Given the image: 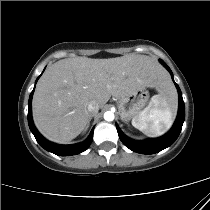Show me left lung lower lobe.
<instances>
[{"label": "left lung lower lobe", "instance_id": "obj_1", "mask_svg": "<svg viewBox=\"0 0 210 210\" xmlns=\"http://www.w3.org/2000/svg\"><path fill=\"white\" fill-rule=\"evenodd\" d=\"M160 62L167 68V70L170 72L173 79L172 71L167 66V64L164 63L162 60H160ZM175 85L177 87L178 94H179V110H178L177 119L172 129L166 135L160 138L149 139L145 141H135L125 136L122 133V131L119 129V127L117 126L119 138L124 143V145L128 147L130 150L137 153H141V154H154L169 147L178 138L182 129L184 119H185V106H184L181 90L176 83Z\"/></svg>", "mask_w": 210, "mask_h": 210}]
</instances>
